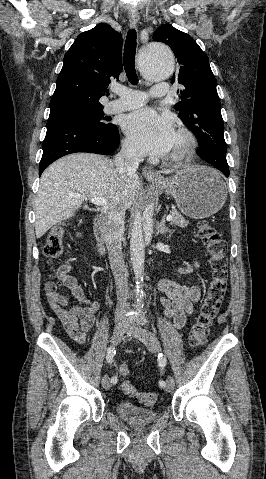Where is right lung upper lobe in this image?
Wrapping results in <instances>:
<instances>
[{
  "label": "right lung upper lobe",
  "instance_id": "cb5924a9",
  "mask_svg": "<svg viewBox=\"0 0 266 479\" xmlns=\"http://www.w3.org/2000/svg\"><path fill=\"white\" fill-rule=\"evenodd\" d=\"M122 36L101 23L81 33L65 53L64 64L50 101V113L73 108L103 107L111 80L122 72Z\"/></svg>",
  "mask_w": 266,
  "mask_h": 479
}]
</instances>
